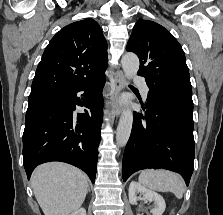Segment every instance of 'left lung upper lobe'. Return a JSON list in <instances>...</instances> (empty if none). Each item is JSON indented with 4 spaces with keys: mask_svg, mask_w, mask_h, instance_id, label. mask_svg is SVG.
<instances>
[{
    "mask_svg": "<svg viewBox=\"0 0 223 215\" xmlns=\"http://www.w3.org/2000/svg\"><path fill=\"white\" fill-rule=\"evenodd\" d=\"M126 49L139 57L138 75L145 77L151 91L193 104L185 54L167 29L153 21L140 19Z\"/></svg>",
    "mask_w": 223,
    "mask_h": 215,
    "instance_id": "left-lung-upper-lobe-1",
    "label": "left lung upper lobe"
}]
</instances>
